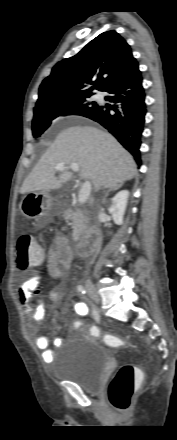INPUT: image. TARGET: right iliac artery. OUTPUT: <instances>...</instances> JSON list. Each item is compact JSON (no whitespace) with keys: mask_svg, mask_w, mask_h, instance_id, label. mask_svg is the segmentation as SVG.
Wrapping results in <instances>:
<instances>
[{"mask_svg":"<svg viewBox=\"0 0 177 440\" xmlns=\"http://www.w3.org/2000/svg\"><path fill=\"white\" fill-rule=\"evenodd\" d=\"M77 290H78V292H80L81 294H85V288L82 286V285H78L77 286ZM93 316H94V318H95V320L97 321V322H99L100 321V317H99V313L95 310V309H93Z\"/></svg>","mask_w":177,"mask_h":440,"instance_id":"1","label":"right iliac artery"}]
</instances>
